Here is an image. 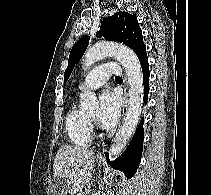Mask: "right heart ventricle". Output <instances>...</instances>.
<instances>
[{"instance_id": "obj_1", "label": "right heart ventricle", "mask_w": 211, "mask_h": 195, "mask_svg": "<svg viewBox=\"0 0 211 195\" xmlns=\"http://www.w3.org/2000/svg\"><path fill=\"white\" fill-rule=\"evenodd\" d=\"M65 126L70 140L75 145L87 147L91 143V120L85 112L72 107L67 114Z\"/></svg>"}]
</instances>
